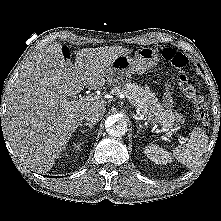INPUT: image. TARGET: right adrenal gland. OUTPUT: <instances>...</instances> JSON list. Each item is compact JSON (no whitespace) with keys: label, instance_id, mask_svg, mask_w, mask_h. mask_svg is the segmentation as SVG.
I'll return each instance as SVG.
<instances>
[{"label":"right adrenal gland","instance_id":"1","mask_svg":"<svg viewBox=\"0 0 221 221\" xmlns=\"http://www.w3.org/2000/svg\"><path fill=\"white\" fill-rule=\"evenodd\" d=\"M83 125H84V126H88L89 129L91 130V129L94 127L95 124H92V123H84V124H80V127H82Z\"/></svg>","mask_w":221,"mask_h":221}]
</instances>
